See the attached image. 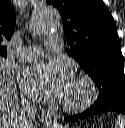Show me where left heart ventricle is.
Segmentation results:
<instances>
[{
	"label": "left heart ventricle",
	"mask_w": 125,
	"mask_h": 128,
	"mask_svg": "<svg viewBox=\"0 0 125 128\" xmlns=\"http://www.w3.org/2000/svg\"><path fill=\"white\" fill-rule=\"evenodd\" d=\"M81 94V89L72 85V88L66 98V100H75L77 99Z\"/></svg>",
	"instance_id": "1"
}]
</instances>
